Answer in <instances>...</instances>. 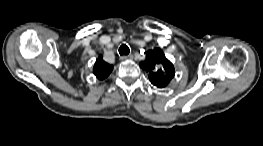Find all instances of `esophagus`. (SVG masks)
<instances>
[{
  "mask_svg": "<svg viewBox=\"0 0 263 146\" xmlns=\"http://www.w3.org/2000/svg\"><path fill=\"white\" fill-rule=\"evenodd\" d=\"M131 56H128V55H122L120 56V60L124 61V60H127V59H130Z\"/></svg>",
  "mask_w": 263,
  "mask_h": 146,
  "instance_id": "34e87169",
  "label": "esophagus"
}]
</instances>
